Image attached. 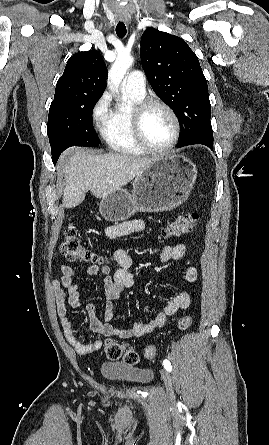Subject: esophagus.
Listing matches in <instances>:
<instances>
[{"mask_svg":"<svg viewBox=\"0 0 269 445\" xmlns=\"http://www.w3.org/2000/svg\"><path fill=\"white\" fill-rule=\"evenodd\" d=\"M119 18H120L121 21H124V22H127V23H129V21H130L129 17L127 15H120Z\"/></svg>","mask_w":269,"mask_h":445,"instance_id":"34e87169","label":"esophagus"}]
</instances>
